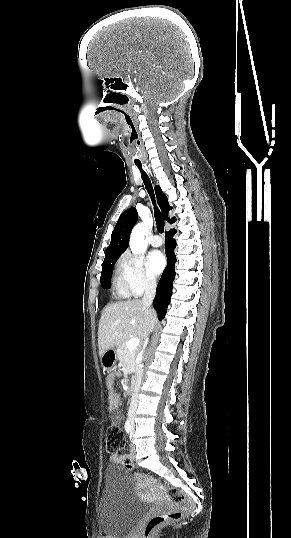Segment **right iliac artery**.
<instances>
[{
    "mask_svg": "<svg viewBox=\"0 0 291 538\" xmlns=\"http://www.w3.org/2000/svg\"><path fill=\"white\" fill-rule=\"evenodd\" d=\"M124 427H125V431H126L127 433H129V432L131 431V425H130V421H129V420H127V421L125 422V426H124Z\"/></svg>",
    "mask_w": 291,
    "mask_h": 538,
    "instance_id": "obj_1",
    "label": "right iliac artery"
}]
</instances>
